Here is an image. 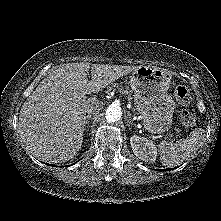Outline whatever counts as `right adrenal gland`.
Listing matches in <instances>:
<instances>
[{
  "mask_svg": "<svg viewBox=\"0 0 221 221\" xmlns=\"http://www.w3.org/2000/svg\"><path fill=\"white\" fill-rule=\"evenodd\" d=\"M90 119H91V116H86L85 117V130L86 131H88L89 130V126H90V124H89V122H90Z\"/></svg>",
  "mask_w": 221,
  "mask_h": 221,
  "instance_id": "obj_1",
  "label": "right adrenal gland"
}]
</instances>
